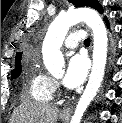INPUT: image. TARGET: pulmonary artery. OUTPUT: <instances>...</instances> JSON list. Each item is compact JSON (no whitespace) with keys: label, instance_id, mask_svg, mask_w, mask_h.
<instances>
[{"label":"pulmonary artery","instance_id":"1","mask_svg":"<svg viewBox=\"0 0 122 123\" xmlns=\"http://www.w3.org/2000/svg\"><path fill=\"white\" fill-rule=\"evenodd\" d=\"M85 36L86 35L83 30L74 31L66 37L64 41V46L73 49L79 44V42L85 39Z\"/></svg>","mask_w":122,"mask_h":123}]
</instances>
